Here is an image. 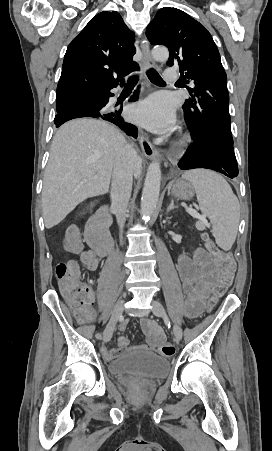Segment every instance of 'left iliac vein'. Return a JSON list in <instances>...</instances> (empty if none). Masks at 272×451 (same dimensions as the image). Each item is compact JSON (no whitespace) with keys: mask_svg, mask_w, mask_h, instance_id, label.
I'll use <instances>...</instances> for the list:
<instances>
[{"mask_svg":"<svg viewBox=\"0 0 272 451\" xmlns=\"http://www.w3.org/2000/svg\"><path fill=\"white\" fill-rule=\"evenodd\" d=\"M152 312L158 317H166L165 310L163 306L156 300L152 301ZM173 334L176 342H179L182 338V329L178 325L173 326Z\"/></svg>","mask_w":272,"mask_h":451,"instance_id":"1","label":"left iliac vein"}]
</instances>
